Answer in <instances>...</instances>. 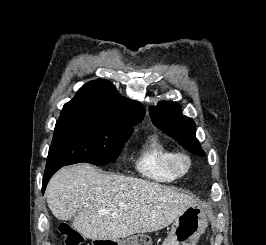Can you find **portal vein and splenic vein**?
<instances>
[{
	"instance_id": "18ae733b",
	"label": "portal vein and splenic vein",
	"mask_w": 266,
	"mask_h": 245,
	"mask_svg": "<svg viewBox=\"0 0 266 245\" xmlns=\"http://www.w3.org/2000/svg\"><path fill=\"white\" fill-rule=\"evenodd\" d=\"M99 213H108L107 209H101V211H99Z\"/></svg>"
}]
</instances>
